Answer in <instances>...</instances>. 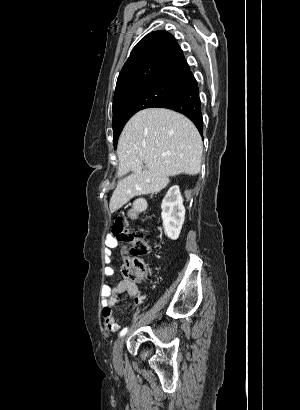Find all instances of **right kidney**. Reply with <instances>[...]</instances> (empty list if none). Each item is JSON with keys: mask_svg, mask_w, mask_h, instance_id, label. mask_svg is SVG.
<instances>
[{"mask_svg": "<svg viewBox=\"0 0 300 410\" xmlns=\"http://www.w3.org/2000/svg\"><path fill=\"white\" fill-rule=\"evenodd\" d=\"M164 232L168 238L176 240L185 219V208L179 186H172L161 204Z\"/></svg>", "mask_w": 300, "mask_h": 410, "instance_id": "right-kidney-1", "label": "right kidney"}]
</instances>
